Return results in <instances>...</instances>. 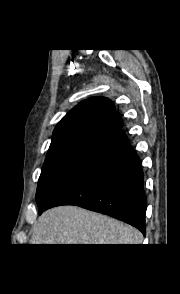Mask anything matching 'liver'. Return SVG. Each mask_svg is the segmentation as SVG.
I'll list each match as a JSON object with an SVG mask.
<instances>
[{
  "mask_svg": "<svg viewBox=\"0 0 180 294\" xmlns=\"http://www.w3.org/2000/svg\"><path fill=\"white\" fill-rule=\"evenodd\" d=\"M135 228L75 206L45 211L36 221L30 244H141Z\"/></svg>",
  "mask_w": 180,
  "mask_h": 294,
  "instance_id": "obj_1",
  "label": "liver"
}]
</instances>
